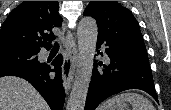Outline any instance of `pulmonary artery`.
Returning a JSON list of instances; mask_svg holds the SVG:
<instances>
[{"label": "pulmonary artery", "mask_w": 171, "mask_h": 110, "mask_svg": "<svg viewBox=\"0 0 171 110\" xmlns=\"http://www.w3.org/2000/svg\"><path fill=\"white\" fill-rule=\"evenodd\" d=\"M105 58H106V59L108 58L106 54H105Z\"/></svg>", "instance_id": "1"}]
</instances>
